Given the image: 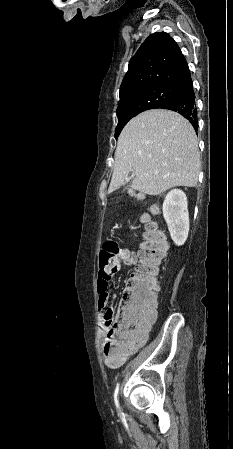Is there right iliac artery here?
Segmentation results:
<instances>
[{"label": "right iliac artery", "instance_id": "right-iliac-artery-1", "mask_svg": "<svg viewBox=\"0 0 233 449\" xmlns=\"http://www.w3.org/2000/svg\"><path fill=\"white\" fill-rule=\"evenodd\" d=\"M118 392H119V384H117L115 391H114V401H115L116 407L118 408V410H120L119 402H118Z\"/></svg>", "mask_w": 233, "mask_h": 449}]
</instances>
